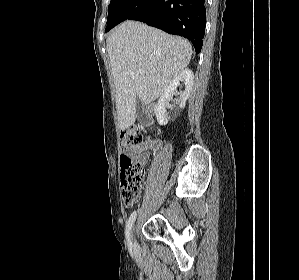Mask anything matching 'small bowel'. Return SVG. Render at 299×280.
Returning <instances> with one entry per match:
<instances>
[{"label": "small bowel", "instance_id": "c3829d8e", "mask_svg": "<svg viewBox=\"0 0 299 280\" xmlns=\"http://www.w3.org/2000/svg\"><path fill=\"white\" fill-rule=\"evenodd\" d=\"M161 146V142L159 140H151L147 139L144 143L137 147H133L128 151L139 155V160L146 161L147 159V152L151 149H156Z\"/></svg>", "mask_w": 299, "mask_h": 280}]
</instances>
